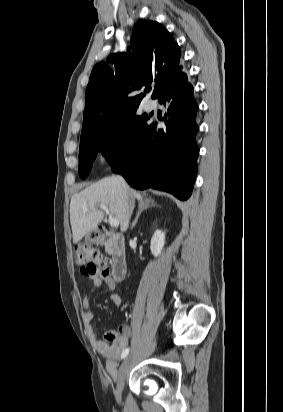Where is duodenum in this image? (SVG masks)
<instances>
[{"mask_svg":"<svg viewBox=\"0 0 283 412\" xmlns=\"http://www.w3.org/2000/svg\"><path fill=\"white\" fill-rule=\"evenodd\" d=\"M97 245H107L112 258V277L121 282L127 275V260L124 251L123 237L99 226L95 235Z\"/></svg>","mask_w":283,"mask_h":412,"instance_id":"obj_1","label":"duodenum"}]
</instances>
